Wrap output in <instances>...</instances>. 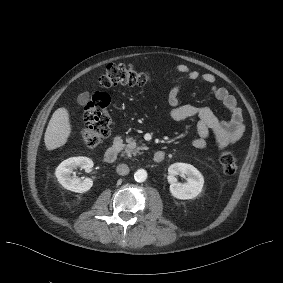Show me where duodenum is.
Listing matches in <instances>:
<instances>
[{"label":"duodenum","mask_w":283,"mask_h":283,"mask_svg":"<svg viewBox=\"0 0 283 283\" xmlns=\"http://www.w3.org/2000/svg\"><path fill=\"white\" fill-rule=\"evenodd\" d=\"M121 146H122L121 138L118 135L114 136L112 143L110 144V146L107 148V150L104 153L105 162L113 163L114 161H116L119 151L121 149ZM152 158L154 162L160 163L164 160L165 153L163 151H156L153 154Z\"/></svg>","instance_id":"410a0bca"}]
</instances>
